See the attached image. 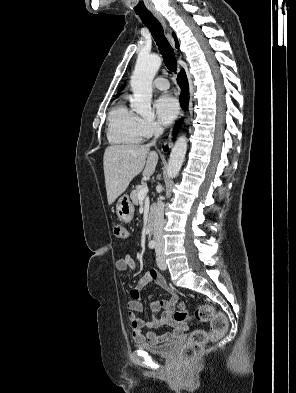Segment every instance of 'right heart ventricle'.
<instances>
[{
	"instance_id": "obj_1",
	"label": "right heart ventricle",
	"mask_w": 296,
	"mask_h": 393,
	"mask_svg": "<svg viewBox=\"0 0 296 393\" xmlns=\"http://www.w3.org/2000/svg\"><path fill=\"white\" fill-rule=\"evenodd\" d=\"M142 119L125 103L118 104L109 115L108 140L113 144L131 146L143 140Z\"/></svg>"
}]
</instances>
